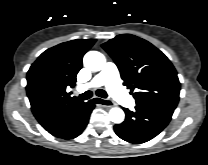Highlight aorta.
I'll list each match as a JSON object with an SVG mask.
<instances>
[{
  "instance_id": "762f6f07",
  "label": "aorta",
  "mask_w": 208,
  "mask_h": 165,
  "mask_svg": "<svg viewBox=\"0 0 208 165\" xmlns=\"http://www.w3.org/2000/svg\"><path fill=\"white\" fill-rule=\"evenodd\" d=\"M83 63L86 68L91 71H100L106 64L105 56L98 51H89L83 58ZM109 118L112 122L119 124L122 123L125 114L121 108L113 107L109 111Z\"/></svg>"
}]
</instances>
